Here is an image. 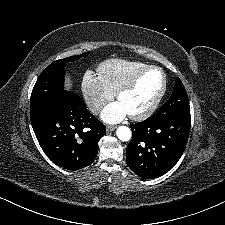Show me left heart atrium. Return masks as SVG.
Masks as SVG:
<instances>
[{"instance_id":"39dd6f15","label":"left heart atrium","mask_w":225,"mask_h":225,"mask_svg":"<svg viewBox=\"0 0 225 225\" xmlns=\"http://www.w3.org/2000/svg\"><path fill=\"white\" fill-rule=\"evenodd\" d=\"M128 115L120 102H113L107 105L102 111L101 117L107 123H116Z\"/></svg>"}]
</instances>
